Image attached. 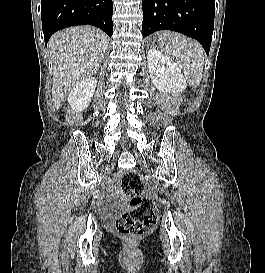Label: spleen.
Listing matches in <instances>:
<instances>
[{"label":"spleen","mask_w":265,"mask_h":273,"mask_svg":"<svg viewBox=\"0 0 265 273\" xmlns=\"http://www.w3.org/2000/svg\"><path fill=\"white\" fill-rule=\"evenodd\" d=\"M159 48L172 58L178 67L184 71L188 83L196 86L200 83L204 51L201 45L179 33L163 32L158 37Z\"/></svg>","instance_id":"obj_1"}]
</instances>
